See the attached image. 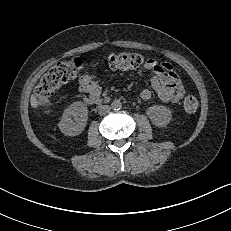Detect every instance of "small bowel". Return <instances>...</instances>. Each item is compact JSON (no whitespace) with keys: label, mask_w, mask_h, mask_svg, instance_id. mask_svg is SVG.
Wrapping results in <instances>:
<instances>
[{"label":"small bowel","mask_w":231,"mask_h":231,"mask_svg":"<svg viewBox=\"0 0 231 231\" xmlns=\"http://www.w3.org/2000/svg\"><path fill=\"white\" fill-rule=\"evenodd\" d=\"M139 73L142 76L150 75L151 87L163 103H175L183 97L184 87L170 63L148 59ZM78 84L81 92L89 96L99 97L101 87L95 75H82ZM152 94L151 89L145 88L141 91L140 96L143 100H149Z\"/></svg>","instance_id":"small-bowel-1"}]
</instances>
